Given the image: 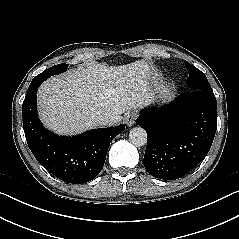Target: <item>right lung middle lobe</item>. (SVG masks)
Segmentation results:
<instances>
[{"mask_svg": "<svg viewBox=\"0 0 239 239\" xmlns=\"http://www.w3.org/2000/svg\"><path fill=\"white\" fill-rule=\"evenodd\" d=\"M68 66H69V64H58V65L50 67L48 70L40 73L37 76H42V77H45V79H47L50 76L65 72L67 70Z\"/></svg>", "mask_w": 239, "mask_h": 239, "instance_id": "1", "label": "right lung middle lobe"}]
</instances>
